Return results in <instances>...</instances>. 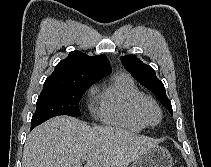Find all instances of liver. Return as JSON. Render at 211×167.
<instances>
[{
	"label": "liver",
	"instance_id": "1",
	"mask_svg": "<svg viewBox=\"0 0 211 167\" xmlns=\"http://www.w3.org/2000/svg\"><path fill=\"white\" fill-rule=\"evenodd\" d=\"M157 146L151 138L112 127H90L69 116L52 118L27 137L22 167H127Z\"/></svg>",
	"mask_w": 211,
	"mask_h": 167
}]
</instances>
